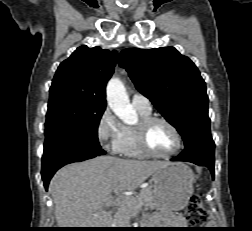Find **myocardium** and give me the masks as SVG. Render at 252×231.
Wrapping results in <instances>:
<instances>
[{"mask_svg":"<svg viewBox=\"0 0 252 231\" xmlns=\"http://www.w3.org/2000/svg\"><path fill=\"white\" fill-rule=\"evenodd\" d=\"M158 122L167 125L173 132L176 139V145L174 149L168 154H158L154 152L148 144V132L151 126ZM135 132L139 148L142 150L143 153L151 157L167 159L177 154L182 147L183 140L178 128L171 121L164 117L149 116L146 118H142L140 122L135 126Z\"/></svg>","mask_w":252,"mask_h":231,"instance_id":"obj_1","label":"myocardium"}]
</instances>
